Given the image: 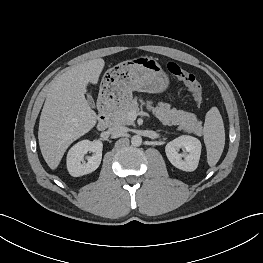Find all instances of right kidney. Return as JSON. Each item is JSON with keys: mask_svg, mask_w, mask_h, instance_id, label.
I'll list each match as a JSON object with an SVG mask.
<instances>
[{"mask_svg": "<svg viewBox=\"0 0 263 263\" xmlns=\"http://www.w3.org/2000/svg\"><path fill=\"white\" fill-rule=\"evenodd\" d=\"M103 144L100 140H82L76 143L67 154V169L71 176L79 177L95 171L102 159ZM90 151L92 156L84 161L85 154Z\"/></svg>", "mask_w": 263, "mask_h": 263, "instance_id": "right-kidney-1", "label": "right kidney"}]
</instances>
